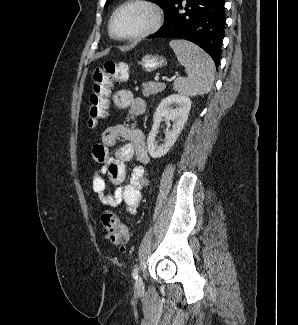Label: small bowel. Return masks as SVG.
I'll list each match as a JSON object with an SVG mask.
<instances>
[{
  "label": "small bowel",
  "instance_id": "small-bowel-1",
  "mask_svg": "<svg viewBox=\"0 0 298 325\" xmlns=\"http://www.w3.org/2000/svg\"><path fill=\"white\" fill-rule=\"evenodd\" d=\"M112 103L117 109H128L133 117H138L145 111L144 101L134 98L128 90L115 92ZM119 140H125L126 143L112 155L110 148ZM92 156L100 165L94 171L92 180L93 191L98 195L100 203L105 207H116L124 203L127 211L134 213L140 204L142 189L149 184L146 170L149 154L144 133L123 124L110 126L102 132L101 142L93 146ZM133 159L137 164L125 183V162ZM105 177L115 187L111 193L106 191Z\"/></svg>",
  "mask_w": 298,
  "mask_h": 325
}]
</instances>
